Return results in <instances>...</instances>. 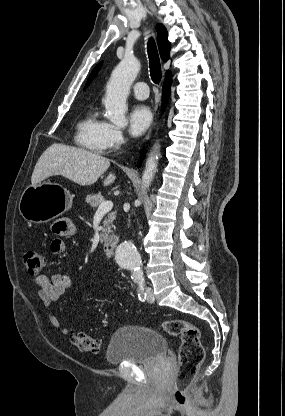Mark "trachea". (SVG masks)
Returning <instances> with one entry per match:
<instances>
[{"label":"trachea","instance_id":"3493384b","mask_svg":"<svg viewBox=\"0 0 285 416\" xmlns=\"http://www.w3.org/2000/svg\"><path fill=\"white\" fill-rule=\"evenodd\" d=\"M147 48L150 61V76L152 81L158 85L161 81L162 73L158 50L153 38L149 39Z\"/></svg>","mask_w":285,"mask_h":416}]
</instances>
